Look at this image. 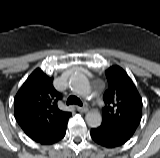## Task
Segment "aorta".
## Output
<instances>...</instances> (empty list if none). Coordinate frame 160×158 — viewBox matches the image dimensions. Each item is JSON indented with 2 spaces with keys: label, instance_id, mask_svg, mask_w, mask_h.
I'll list each match as a JSON object with an SVG mask.
<instances>
[{
  "label": "aorta",
  "instance_id": "1",
  "mask_svg": "<svg viewBox=\"0 0 160 158\" xmlns=\"http://www.w3.org/2000/svg\"><path fill=\"white\" fill-rule=\"evenodd\" d=\"M70 87L79 95L86 96L90 91V84L83 74H73L69 80ZM88 126L96 128L102 123V116L99 111H90L85 116Z\"/></svg>",
  "mask_w": 160,
  "mask_h": 158
}]
</instances>
